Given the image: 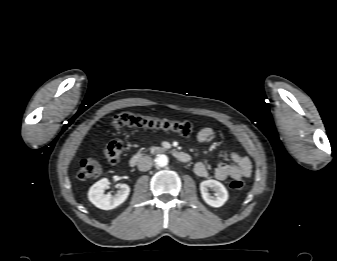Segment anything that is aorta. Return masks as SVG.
Returning a JSON list of instances; mask_svg holds the SVG:
<instances>
[{
    "instance_id": "1",
    "label": "aorta",
    "mask_w": 337,
    "mask_h": 261,
    "mask_svg": "<svg viewBox=\"0 0 337 261\" xmlns=\"http://www.w3.org/2000/svg\"><path fill=\"white\" fill-rule=\"evenodd\" d=\"M155 162L159 167H165L168 165V157L164 154H160L156 157Z\"/></svg>"
}]
</instances>
